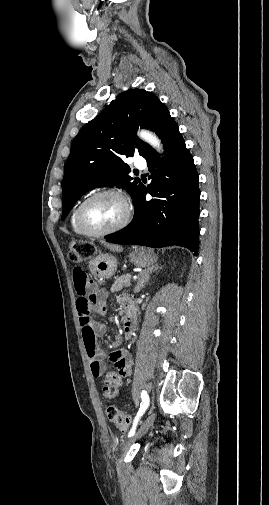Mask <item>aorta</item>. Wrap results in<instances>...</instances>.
<instances>
[{
	"mask_svg": "<svg viewBox=\"0 0 269 505\" xmlns=\"http://www.w3.org/2000/svg\"><path fill=\"white\" fill-rule=\"evenodd\" d=\"M138 136L144 140L145 142H147L149 145H151L152 147H154L156 150H160L161 146H160V141L159 139L156 137L155 134H153L152 132L150 131H147V130H142L140 132H138Z\"/></svg>",
	"mask_w": 269,
	"mask_h": 505,
	"instance_id": "aorta-1",
	"label": "aorta"
}]
</instances>
